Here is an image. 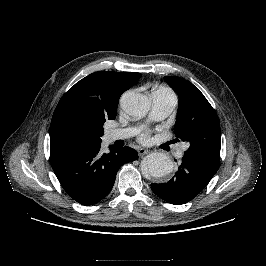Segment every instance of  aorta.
Instances as JSON below:
<instances>
[{"instance_id": "aorta-1", "label": "aorta", "mask_w": 266, "mask_h": 266, "mask_svg": "<svg viewBox=\"0 0 266 266\" xmlns=\"http://www.w3.org/2000/svg\"><path fill=\"white\" fill-rule=\"evenodd\" d=\"M121 107L130 116L142 117L150 108V99L144 94L128 91L121 97ZM142 171L153 178H161L173 171V162L164 153H151L147 155Z\"/></svg>"}]
</instances>
